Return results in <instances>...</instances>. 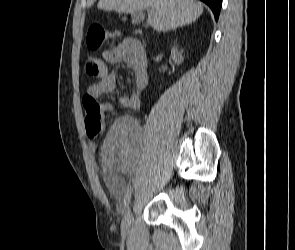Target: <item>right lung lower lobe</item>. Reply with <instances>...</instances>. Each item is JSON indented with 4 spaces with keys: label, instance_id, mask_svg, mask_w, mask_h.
<instances>
[{
    "label": "right lung lower lobe",
    "instance_id": "1",
    "mask_svg": "<svg viewBox=\"0 0 295 250\" xmlns=\"http://www.w3.org/2000/svg\"><path fill=\"white\" fill-rule=\"evenodd\" d=\"M202 2L206 3L214 13V17L218 20L222 0H201Z\"/></svg>",
    "mask_w": 295,
    "mask_h": 250
}]
</instances>
